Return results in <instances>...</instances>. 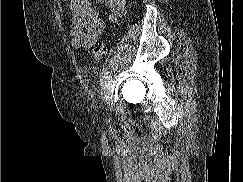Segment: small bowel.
Returning a JSON list of instances; mask_svg holds the SVG:
<instances>
[{
    "instance_id": "obj_1",
    "label": "small bowel",
    "mask_w": 243,
    "mask_h": 182,
    "mask_svg": "<svg viewBox=\"0 0 243 182\" xmlns=\"http://www.w3.org/2000/svg\"><path fill=\"white\" fill-rule=\"evenodd\" d=\"M111 9L112 21L124 15L126 0H98ZM69 10L72 13L70 36L75 49L90 48L103 33L105 24L90 0H70Z\"/></svg>"
}]
</instances>
